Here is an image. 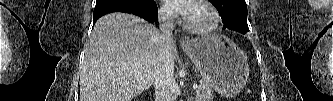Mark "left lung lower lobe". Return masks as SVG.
I'll use <instances>...</instances> for the list:
<instances>
[{
  "instance_id": "1",
  "label": "left lung lower lobe",
  "mask_w": 333,
  "mask_h": 101,
  "mask_svg": "<svg viewBox=\"0 0 333 101\" xmlns=\"http://www.w3.org/2000/svg\"><path fill=\"white\" fill-rule=\"evenodd\" d=\"M241 1L244 2L243 4L246 5L245 0H241ZM224 28H228V26H227V25H224V26H223V29H224ZM248 31H249V28H246V27H245V28H243V29L240 30V33L245 34V33H247Z\"/></svg>"
}]
</instances>
